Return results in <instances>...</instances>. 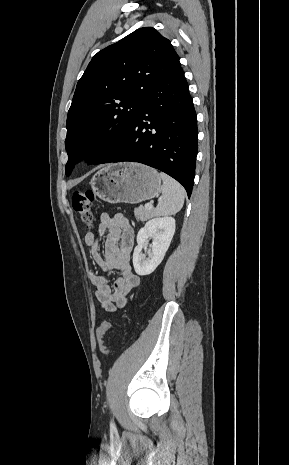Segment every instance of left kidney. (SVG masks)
Instances as JSON below:
<instances>
[{"instance_id":"left-kidney-1","label":"left kidney","mask_w":289,"mask_h":465,"mask_svg":"<svg viewBox=\"0 0 289 465\" xmlns=\"http://www.w3.org/2000/svg\"><path fill=\"white\" fill-rule=\"evenodd\" d=\"M175 232V219L173 217H157L146 222L137 234V246L133 253V266L140 275L151 274L162 262ZM152 239L151 252L143 254L147 249V240Z\"/></svg>"}]
</instances>
